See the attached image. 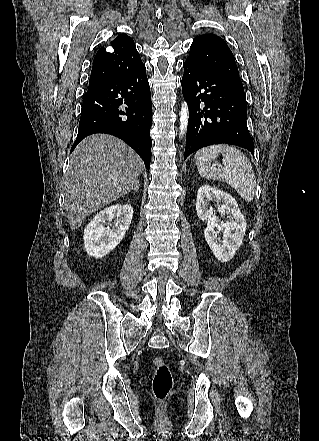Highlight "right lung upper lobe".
Returning a JSON list of instances; mask_svg holds the SVG:
<instances>
[{
  "label": "right lung upper lobe",
  "mask_w": 319,
  "mask_h": 441,
  "mask_svg": "<svg viewBox=\"0 0 319 441\" xmlns=\"http://www.w3.org/2000/svg\"><path fill=\"white\" fill-rule=\"evenodd\" d=\"M111 46L113 52H107L102 47L96 53L88 90L143 64L134 41L126 34L118 35L111 42Z\"/></svg>",
  "instance_id": "obj_1"
}]
</instances>
